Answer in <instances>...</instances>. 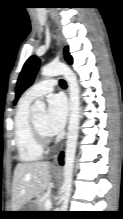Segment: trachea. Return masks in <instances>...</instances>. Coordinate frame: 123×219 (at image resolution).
Masks as SVG:
<instances>
[{
  "label": "trachea",
  "instance_id": "obj_1",
  "mask_svg": "<svg viewBox=\"0 0 123 219\" xmlns=\"http://www.w3.org/2000/svg\"><path fill=\"white\" fill-rule=\"evenodd\" d=\"M60 86L62 88H66V82L64 80H60Z\"/></svg>",
  "mask_w": 123,
  "mask_h": 219
}]
</instances>
